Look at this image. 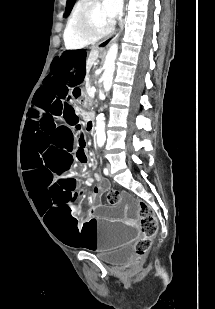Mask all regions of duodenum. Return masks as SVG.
<instances>
[{
	"mask_svg": "<svg viewBox=\"0 0 215 309\" xmlns=\"http://www.w3.org/2000/svg\"><path fill=\"white\" fill-rule=\"evenodd\" d=\"M95 122H96V116L94 114H87L86 123H87L88 129L91 132H95Z\"/></svg>",
	"mask_w": 215,
	"mask_h": 309,
	"instance_id": "obj_1",
	"label": "duodenum"
}]
</instances>
